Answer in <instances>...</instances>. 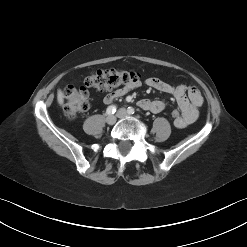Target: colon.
<instances>
[{
	"label": "colon",
	"mask_w": 247,
	"mask_h": 247,
	"mask_svg": "<svg viewBox=\"0 0 247 247\" xmlns=\"http://www.w3.org/2000/svg\"><path fill=\"white\" fill-rule=\"evenodd\" d=\"M137 80V73L132 71L116 68L97 70L85 78L82 86L69 85L64 88V114L68 119L73 120L88 110V88L108 91L122 88ZM171 116L176 121L180 118L181 113L178 110H173Z\"/></svg>",
	"instance_id": "colon-1"
}]
</instances>
